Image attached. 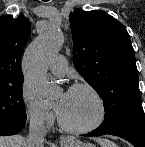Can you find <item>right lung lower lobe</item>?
<instances>
[{"label": "right lung lower lobe", "mask_w": 145, "mask_h": 147, "mask_svg": "<svg viewBox=\"0 0 145 147\" xmlns=\"http://www.w3.org/2000/svg\"><path fill=\"white\" fill-rule=\"evenodd\" d=\"M25 124H26V121H24L20 124H17L15 126L0 127V136L17 134L19 131H21L23 129Z\"/></svg>", "instance_id": "obj_1"}]
</instances>
